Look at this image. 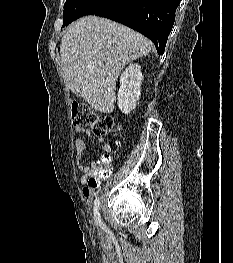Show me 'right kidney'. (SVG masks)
Returning <instances> with one entry per match:
<instances>
[{
	"label": "right kidney",
	"instance_id": "ca27d5eb",
	"mask_svg": "<svg viewBox=\"0 0 233 263\" xmlns=\"http://www.w3.org/2000/svg\"><path fill=\"white\" fill-rule=\"evenodd\" d=\"M141 66L130 64L120 77V89L118 91V106L125 113L135 109L141 95L142 83Z\"/></svg>",
	"mask_w": 233,
	"mask_h": 263
}]
</instances>
